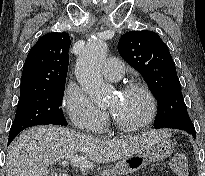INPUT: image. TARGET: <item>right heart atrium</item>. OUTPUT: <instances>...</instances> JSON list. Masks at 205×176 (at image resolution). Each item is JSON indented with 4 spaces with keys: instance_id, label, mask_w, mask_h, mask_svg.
<instances>
[{
    "instance_id": "1",
    "label": "right heart atrium",
    "mask_w": 205,
    "mask_h": 176,
    "mask_svg": "<svg viewBox=\"0 0 205 176\" xmlns=\"http://www.w3.org/2000/svg\"><path fill=\"white\" fill-rule=\"evenodd\" d=\"M63 107L71 122L86 132H92L95 127L104 124L107 118L105 112L75 85L68 86L63 98Z\"/></svg>"
}]
</instances>
